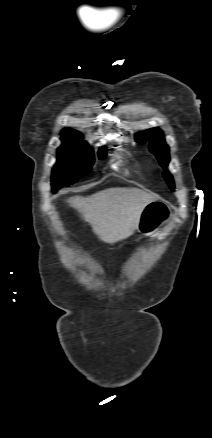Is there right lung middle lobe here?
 <instances>
[{"label": "right lung middle lobe", "mask_w": 212, "mask_h": 438, "mask_svg": "<svg viewBox=\"0 0 212 438\" xmlns=\"http://www.w3.org/2000/svg\"><path fill=\"white\" fill-rule=\"evenodd\" d=\"M99 159L106 156V147L98 152ZM94 163L93 151L88 145L78 140H63L58 148L57 163L52 170L53 188L67 187L83 177Z\"/></svg>", "instance_id": "right-lung-middle-lobe-1"}]
</instances>
